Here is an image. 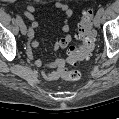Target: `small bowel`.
Returning <instances> with one entry per match:
<instances>
[{"label": "small bowel", "instance_id": "1", "mask_svg": "<svg viewBox=\"0 0 119 119\" xmlns=\"http://www.w3.org/2000/svg\"><path fill=\"white\" fill-rule=\"evenodd\" d=\"M54 8L60 12H62L65 16V21L61 27L62 32L66 33V35L59 40H57L54 44V49H63L66 48L67 45L71 41V36L67 34L70 30L69 19L72 16V10L69 6L63 2H56L54 4ZM39 10V7L34 5H28L24 11V15L31 21L28 32V46H27V55L29 58L34 60V64L37 67H45L46 69L42 72V76L46 80H56L60 77L61 71L64 67V62L62 60H55L48 64H43V62L39 59H34L33 49L39 46V41L35 37V31L39 26L38 21L35 18V13Z\"/></svg>", "mask_w": 119, "mask_h": 119}]
</instances>
